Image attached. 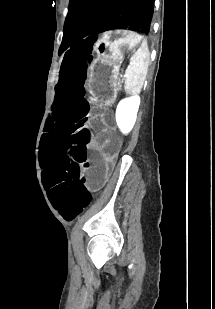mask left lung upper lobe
<instances>
[{
	"label": "left lung upper lobe",
	"instance_id": "1",
	"mask_svg": "<svg viewBox=\"0 0 215 309\" xmlns=\"http://www.w3.org/2000/svg\"><path fill=\"white\" fill-rule=\"evenodd\" d=\"M154 0H70L59 52L115 28L150 32Z\"/></svg>",
	"mask_w": 215,
	"mask_h": 309
}]
</instances>
